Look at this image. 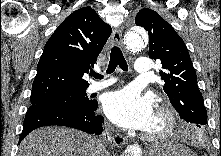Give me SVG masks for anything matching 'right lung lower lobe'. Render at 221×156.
<instances>
[{"mask_svg":"<svg viewBox=\"0 0 221 156\" xmlns=\"http://www.w3.org/2000/svg\"><path fill=\"white\" fill-rule=\"evenodd\" d=\"M97 106V101L89 109L32 105L27 110L19 143L34 129L50 125L67 126L100 135L103 130L102 118L96 114Z\"/></svg>","mask_w":221,"mask_h":156,"instance_id":"right-lung-lower-lobe-1","label":"right lung lower lobe"}]
</instances>
